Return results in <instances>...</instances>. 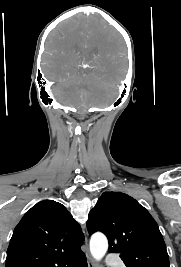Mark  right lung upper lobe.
<instances>
[{
    "instance_id": "right-lung-upper-lobe-1",
    "label": "right lung upper lobe",
    "mask_w": 181,
    "mask_h": 267,
    "mask_svg": "<svg viewBox=\"0 0 181 267\" xmlns=\"http://www.w3.org/2000/svg\"><path fill=\"white\" fill-rule=\"evenodd\" d=\"M80 225L59 202L43 200L33 206L15 227L6 267H60L82 253Z\"/></svg>"
}]
</instances>
